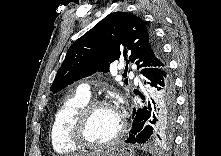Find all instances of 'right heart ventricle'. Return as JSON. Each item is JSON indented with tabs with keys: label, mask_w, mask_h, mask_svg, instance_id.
Masks as SVG:
<instances>
[{
	"label": "right heart ventricle",
	"mask_w": 221,
	"mask_h": 156,
	"mask_svg": "<svg viewBox=\"0 0 221 156\" xmlns=\"http://www.w3.org/2000/svg\"><path fill=\"white\" fill-rule=\"evenodd\" d=\"M89 101L90 96L77 91L67 97L58 108L50 132L51 144L55 152L70 154L80 149L70 139V124L76 113Z\"/></svg>",
	"instance_id": "right-heart-ventricle-1"
}]
</instances>
